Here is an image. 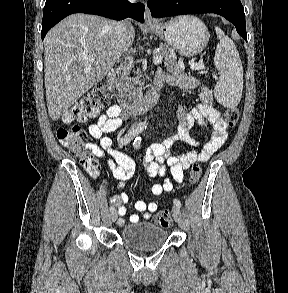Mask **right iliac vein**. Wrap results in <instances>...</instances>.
<instances>
[{
    "label": "right iliac vein",
    "instance_id": "63e3f726",
    "mask_svg": "<svg viewBox=\"0 0 288 293\" xmlns=\"http://www.w3.org/2000/svg\"><path fill=\"white\" fill-rule=\"evenodd\" d=\"M110 217H111V220H112L113 222H115L116 219H117V212H116V211L111 212Z\"/></svg>",
    "mask_w": 288,
    "mask_h": 293
}]
</instances>
